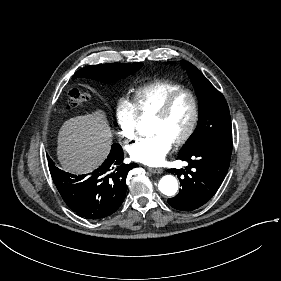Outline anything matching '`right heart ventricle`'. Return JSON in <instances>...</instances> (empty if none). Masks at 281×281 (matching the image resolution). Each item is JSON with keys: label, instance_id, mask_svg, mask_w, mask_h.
Masks as SVG:
<instances>
[{"label": "right heart ventricle", "instance_id": "1", "mask_svg": "<svg viewBox=\"0 0 281 281\" xmlns=\"http://www.w3.org/2000/svg\"><path fill=\"white\" fill-rule=\"evenodd\" d=\"M185 90L176 82L159 81L132 93L131 104L140 116L149 115L155 111L170 95Z\"/></svg>", "mask_w": 281, "mask_h": 281}]
</instances>
